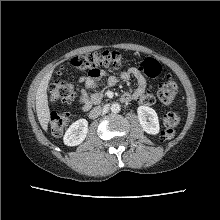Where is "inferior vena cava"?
I'll use <instances>...</instances> for the list:
<instances>
[{
	"instance_id": "inferior-vena-cava-1",
	"label": "inferior vena cava",
	"mask_w": 220,
	"mask_h": 220,
	"mask_svg": "<svg viewBox=\"0 0 220 220\" xmlns=\"http://www.w3.org/2000/svg\"><path fill=\"white\" fill-rule=\"evenodd\" d=\"M108 111V107L104 106L103 108H94L93 112L105 114Z\"/></svg>"
}]
</instances>
